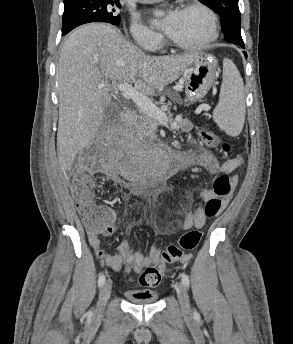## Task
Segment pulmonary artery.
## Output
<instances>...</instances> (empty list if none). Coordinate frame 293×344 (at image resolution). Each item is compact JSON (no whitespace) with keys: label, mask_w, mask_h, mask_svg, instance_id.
<instances>
[{"label":"pulmonary artery","mask_w":293,"mask_h":344,"mask_svg":"<svg viewBox=\"0 0 293 344\" xmlns=\"http://www.w3.org/2000/svg\"><path fill=\"white\" fill-rule=\"evenodd\" d=\"M140 3H151V2H157L160 0H138Z\"/></svg>","instance_id":"obj_1"}]
</instances>
